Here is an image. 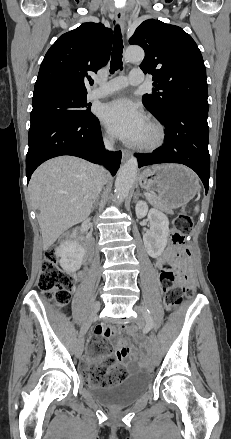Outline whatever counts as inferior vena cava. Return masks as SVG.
<instances>
[{"label":"inferior vena cava","mask_w":231,"mask_h":439,"mask_svg":"<svg viewBox=\"0 0 231 439\" xmlns=\"http://www.w3.org/2000/svg\"><path fill=\"white\" fill-rule=\"evenodd\" d=\"M104 144H105V147H106L107 149H109V150H113L114 142H113L112 139H105V140H104ZM99 170H100V173H101L102 178H103V179H106V178H107L106 171H105L103 168H99Z\"/></svg>","instance_id":"602c4592"}]
</instances>
